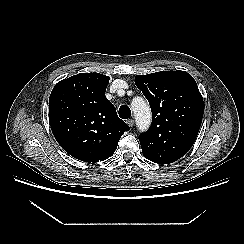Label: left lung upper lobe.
Returning a JSON list of instances; mask_svg holds the SVG:
<instances>
[{
	"mask_svg": "<svg viewBox=\"0 0 244 244\" xmlns=\"http://www.w3.org/2000/svg\"><path fill=\"white\" fill-rule=\"evenodd\" d=\"M136 86L152 111L149 130L140 134L148 160L170 164L183 157L198 135L204 102L193 77L185 71H161L137 75Z\"/></svg>",
	"mask_w": 244,
	"mask_h": 244,
	"instance_id": "obj_1",
	"label": "left lung upper lobe"
}]
</instances>
